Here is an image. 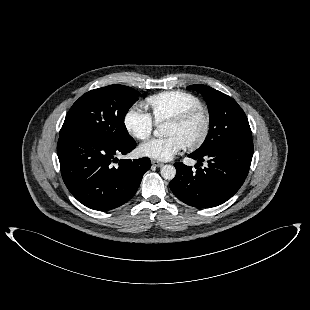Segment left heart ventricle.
Segmentation results:
<instances>
[{"instance_id": "left-heart-ventricle-1", "label": "left heart ventricle", "mask_w": 310, "mask_h": 310, "mask_svg": "<svg viewBox=\"0 0 310 310\" xmlns=\"http://www.w3.org/2000/svg\"><path fill=\"white\" fill-rule=\"evenodd\" d=\"M202 130L203 119L201 117H196L183 125L167 123L165 127V134L167 136H178L186 145L195 141L200 136Z\"/></svg>"}]
</instances>
